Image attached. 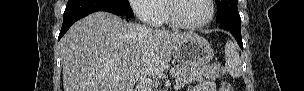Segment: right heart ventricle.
I'll list each match as a JSON object with an SVG mask.
<instances>
[{
  "mask_svg": "<svg viewBox=\"0 0 304 91\" xmlns=\"http://www.w3.org/2000/svg\"><path fill=\"white\" fill-rule=\"evenodd\" d=\"M165 5H166V1H162V2L158 5V10L160 11V16H161V19H162L163 21L166 20L165 15H164Z\"/></svg>",
  "mask_w": 304,
  "mask_h": 91,
  "instance_id": "e07e8e85",
  "label": "right heart ventricle"
}]
</instances>
